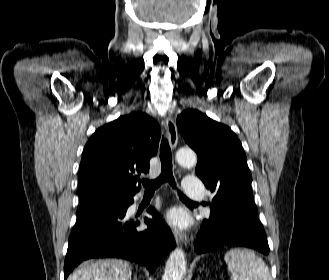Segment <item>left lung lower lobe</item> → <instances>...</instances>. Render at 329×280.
<instances>
[{
  "instance_id": "0a47b994",
  "label": "left lung lower lobe",
  "mask_w": 329,
  "mask_h": 280,
  "mask_svg": "<svg viewBox=\"0 0 329 280\" xmlns=\"http://www.w3.org/2000/svg\"><path fill=\"white\" fill-rule=\"evenodd\" d=\"M224 246H245L269 254L267 237L250 195L235 197L221 209L212 208L210 218L203 221L195 243L197 253Z\"/></svg>"
}]
</instances>
